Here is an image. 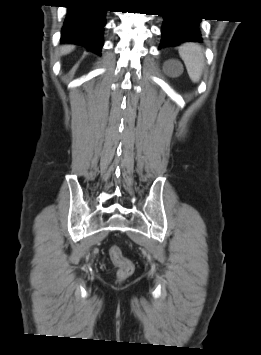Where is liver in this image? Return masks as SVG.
I'll return each mask as SVG.
<instances>
[{
  "label": "liver",
  "instance_id": "liver-1",
  "mask_svg": "<svg viewBox=\"0 0 261 355\" xmlns=\"http://www.w3.org/2000/svg\"><path fill=\"white\" fill-rule=\"evenodd\" d=\"M73 49H74V46H73V45H64V46H62V48H61V53H62V54H68V53H70Z\"/></svg>",
  "mask_w": 261,
  "mask_h": 355
}]
</instances>
